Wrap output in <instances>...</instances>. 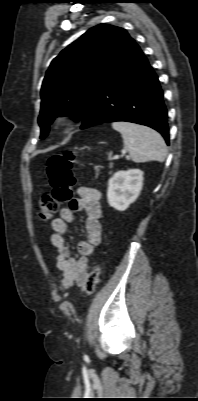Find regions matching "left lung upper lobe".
I'll return each instance as SVG.
<instances>
[{"label":"left lung upper lobe","mask_w":198,"mask_h":401,"mask_svg":"<svg viewBox=\"0 0 198 401\" xmlns=\"http://www.w3.org/2000/svg\"><path fill=\"white\" fill-rule=\"evenodd\" d=\"M135 45L125 29L103 23L89 29L53 59L41 88L40 138L48 135L49 125L59 115L82 120Z\"/></svg>","instance_id":"obj_1"}]
</instances>
